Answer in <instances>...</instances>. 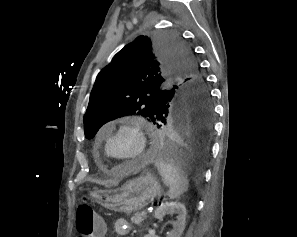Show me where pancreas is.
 I'll use <instances>...</instances> for the list:
<instances>
[{"instance_id": "1", "label": "pancreas", "mask_w": 297, "mask_h": 237, "mask_svg": "<svg viewBox=\"0 0 297 237\" xmlns=\"http://www.w3.org/2000/svg\"><path fill=\"white\" fill-rule=\"evenodd\" d=\"M145 219V215H143V212H137L134 214V216H132L131 218V222L136 224V225H140Z\"/></svg>"}]
</instances>
